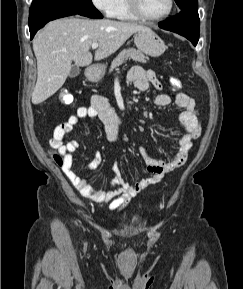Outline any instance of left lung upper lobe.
<instances>
[{"mask_svg": "<svg viewBox=\"0 0 243 289\" xmlns=\"http://www.w3.org/2000/svg\"><path fill=\"white\" fill-rule=\"evenodd\" d=\"M181 10L198 8V0H175Z\"/></svg>", "mask_w": 243, "mask_h": 289, "instance_id": "5c2ea615", "label": "left lung upper lobe"}]
</instances>
